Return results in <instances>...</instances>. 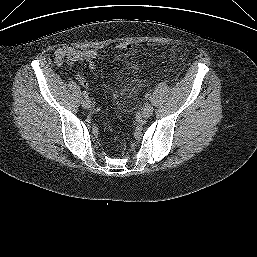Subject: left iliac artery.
<instances>
[{
  "mask_svg": "<svg viewBox=\"0 0 257 257\" xmlns=\"http://www.w3.org/2000/svg\"><path fill=\"white\" fill-rule=\"evenodd\" d=\"M150 97V94H146L145 98L148 99Z\"/></svg>",
  "mask_w": 257,
  "mask_h": 257,
  "instance_id": "left-iliac-artery-1",
  "label": "left iliac artery"
}]
</instances>
